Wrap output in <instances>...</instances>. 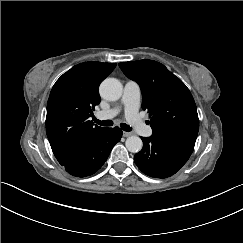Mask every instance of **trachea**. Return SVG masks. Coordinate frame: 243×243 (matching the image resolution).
Here are the masks:
<instances>
[{
	"mask_svg": "<svg viewBox=\"0 0 243 243\" xmlns=\"http://www.w3.org/2000/svg\"><path fill=\"white\" fill-rule=\"evenodd\" d=\"M93 120L95 123H97L98 125H101V126H106V127H110L113 125V121L112 120H104V121H100L98 120L96 117H93ZM120 127L126 131V132H129L132 130V128L127 125L126 123H121L120 124Z\"/></svg>",
	"mask_w": 243,
	"mask_h": 243,
	"instance_id": "1",
	"label": "trachea"
}]
</instances>
